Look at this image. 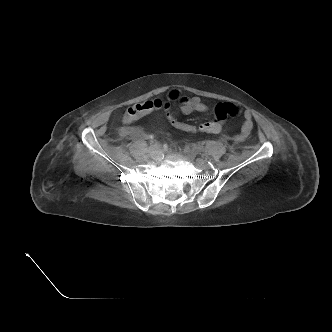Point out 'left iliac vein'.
Segmentation results:
<instances>
[{
	"instance_id": "4c4485c4",
	"label": "left iliac vein",
	"mask_w": 332,
	"mask_h": 332,
	"mask_svg": "<svg viewBox=\"0 0 332 332\" xmlns=\"http://www.w3.org/2000/svg\"><path fill=\"white\" fill-rule=\"evenodd\" d=\"M184 152L189 158H195L196 156V153L193 150H191L189 147H186L184 149Z\"/></svg>"
}]
</instances>
